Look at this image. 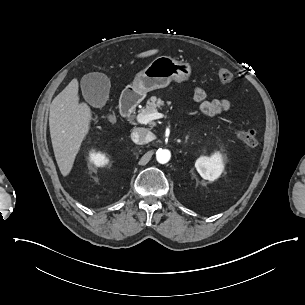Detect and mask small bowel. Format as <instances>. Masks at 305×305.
I'll list each match as a JSON object with an SVG mask.
<instances>
[{"label":"small bowel","instance_id":"1","mask_svg":"<svg viewBox=\"0 0 305 305\" xmlns=\"http://www.w3.org/2000/svg\"><path fill=\"white\" fill-rule=\"evenodd\" d=\"M194 100L200 104L201 111L207 116H216L231 108L230 101L226 99L208 98L207 92L198 87L193 93Z\"/></svg>","mask_w":305,"mask_h":305}]
</instances>
